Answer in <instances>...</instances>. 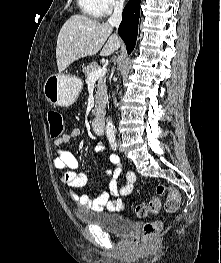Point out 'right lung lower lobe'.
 Returning <instances> with one entry per match:
<instances>
[{"mask_svg":"<svg viewBox=\"0 0 221 263\" xmlns=\"http://www.w3.org/2000/svg\"><path fill=\"white\" fill-rule=\"evenodd\" d=\"M140 1L129 0L124 7L123 19L118 29L129 54L133 51L137 39Z\"/></svg>","mask_w":221,"mask_h":263,"instance_id":"98d812e1","label":"right lung lower lobe"}]
</instances>
